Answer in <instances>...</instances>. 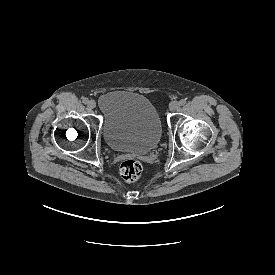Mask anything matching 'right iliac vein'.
Here are the masks:
<instances>
[{
    "mask_svg": "<svg viewBox=\"0 0 275 275\" xmlns=\"http://www.w3.org/2000/svg\"><path fill=\"white\" fill-rule=\"evenodd\" d=\"M88 107H89L90 109H94V108L96 107V102H95L94 100H90V101L88 102Z\"/></svg>",
    "mask_w": 275,
    "mask_h": 275,
    "instance_id": "obj_1",
    "label": "right iliac vein"
}]
</instances>
